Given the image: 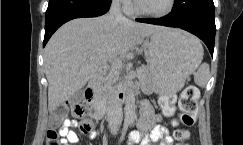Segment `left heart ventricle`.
<instances>
[{"instance_id":"1","label":"left heart ventricle","mask_w":243,"mask_h":145,"mask_svg":"<svg viewBox=\"0 0 243 145\" xmlns=\"http://www.w3.org/2000/svg\"><path fill=\"white\" fill-rule=\"evenodd\" d=\"M170 0H139L141 6L151 12H162L169 6Z\"/></svg>"}]
</instances>
